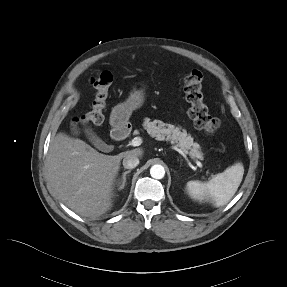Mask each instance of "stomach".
Returning a JSON list of instances; mask_svg holds the SVG:
<instances>
[{"label":"stomach","instance_id":"0dacf381","mask_svg":"<svg viewBox=\"0 0 287 287\" xmlns=\"http://www.w3.org/2000/svg\"><path fill=\"white\" fill-rule=\"evenodd\" d=\"M147 88L146 84L135 85L128 97V99L117 105L110 115V125L114 135L121 131L129 124V118L134 110L141 107L145 96L144 91Z\"/></svg>","mask_w":287,"mask_h":287}]
</instances>
